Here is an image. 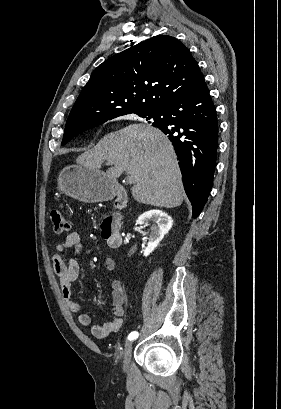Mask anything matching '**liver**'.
Returning a JSON list of instances; mask_svg holds the SVG:
<instances>
[{
	"label": "liver",
	"instance_id": "liver-1",
	"mask_svg": "<svg viewBox=\"0 0 281 409\" xmlns=\"http://www.w3.org/2000/svg\"><path fill=\"white\" fill-rule=\"evenodd\" d=\"M107 160L113 166L106 170L111 180L122 172L133 176L132 196L152 207H180L184 186L173 146L166 134L151 124H129L105 134L98 144L79 154L78 164L101 168Z\"/></svg>",
	"mask_w": 281,
	"mask_h": 409
}]
</instances>
